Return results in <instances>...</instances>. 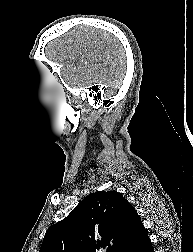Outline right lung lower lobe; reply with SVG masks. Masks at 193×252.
<instances>
[{"mask_svg": "<svg viewBox=\"0 0 193 252\" xmlns=\"http://www.w3.org/2000/svg\"><path fill=\"white\" fill-rule=\"evenodd\" d=\"M124 252H154L145 229L140 232L137 239Z\"/></svg>", "mask_w": 193, "mask_h": 252, "instance_id": "98d812e1", "label": "right lung lower lobe"}]
</instances>
